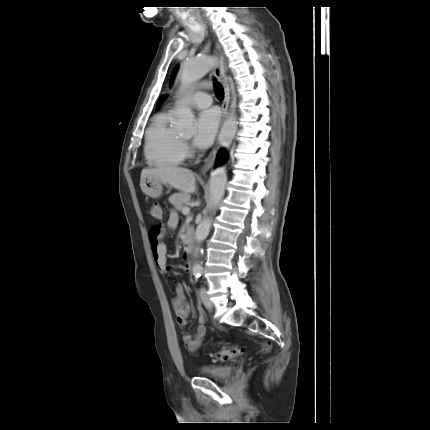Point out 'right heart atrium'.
Masks as SVG:
<instances>
[{
  "mask_svg": "<svg viewBox=\"0 0 430 430\" xmlns=\"http://www.w3.org/2000/svg\"><path fill=\"white\" fill-rule=\"evenodd\" d=\"M183 149L185 152H188L190 150L188 144H186V143H183Z\"/></svg>",
  "mask_w": 430,
  "mask_h": 430,
  "instance_id": "right-heart-atrium-1",
  "label": "right heart atrium"
}]
</instances>
